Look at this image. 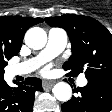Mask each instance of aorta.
Instances as JSON below:
<instances>
[{"label": "aorta", "mask_w": 112, "mask_h": 112, "mask_svg": "<svg viewBox=\"0 0 112 112\" xmlns=\"http://www.w3.org/2000/svg\"><path fill=\"white\" fill-rule=\"evenodd\" d=\"M24 39L28 47L39 50L46 45L47 34L40 27H32L26 32ZM52 91L55 98L61 102H67L71 99L72 89L66 82L57 83Z\"/></svg>", "instance_id": "762f6f07"}]
</instances>
